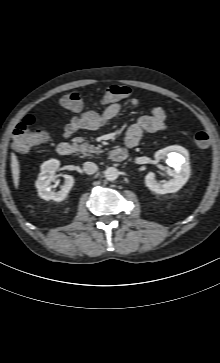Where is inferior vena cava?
<instances>
[{
  "mask_svg": "<svg viewBox=\"0 0 220 363\" xmlns=\"http://www.w3.org/2000/svg\"><path fill=\"white\" fill-rule=\"evenodd\" d=\"M83 169L86 174L92 175L98 170V166L93 162H85L83 164Z\"/></svg>",
  "mask_w": 220,
  "mask_h": 363,
  "instance_id": "602c4592",
  "label": "inferior vena cava"
}]
</instances>
